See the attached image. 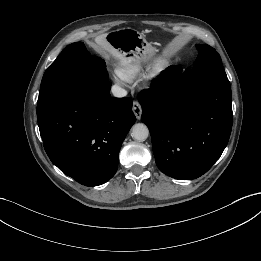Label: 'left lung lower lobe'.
I'll use <instances>...</instances> for the list:
<instances>
[{"instance_id": "obj_1", "label": "left lung lower lobe", "mask_w": 261, "mask_h": 261, "mask_svg": "<svg viewBox=\"0 0 261 261\" xmlns=\"http://www.w3.org/2000/svg\"><path fill=\"white\" fill-rule=\"evenodd\" d=\"M142 92V121L149 128L158 168L176 179L206 173L224 151L232 129L231 88L224 70L187 75L179 66Z\"/></svg>"}]
</instances>
